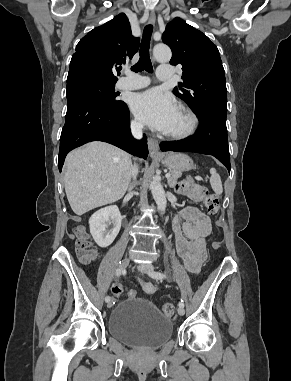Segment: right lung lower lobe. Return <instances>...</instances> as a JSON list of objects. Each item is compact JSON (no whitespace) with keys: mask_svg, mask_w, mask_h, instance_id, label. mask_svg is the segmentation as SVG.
I'll return each instance as SVG.
<instances>
[{"mask_svg":"<svg viewBox=\"0 0 291 381\" xmlns=\"http://www.w3.org/2000/svg\"><path fill=\"white\" fill-rule=\"evenodd\" d=\"M67 113L60 137L58 168L61 172L66 155L90 141L113 144L135 156L146 159V137L135 140L130 132L129 109L125 103L109 106L89 87L67 84Z\"/></svg>","mask_w":291,"mask_h":381,"instance_id":"1","label":"right lung lower lobe"}]
</instances>
